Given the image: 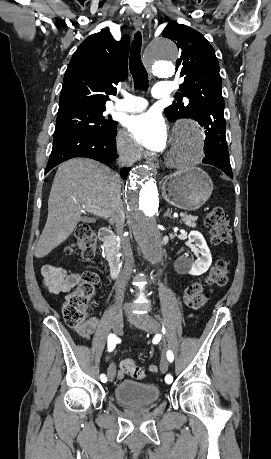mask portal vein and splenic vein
Listing matches in <instances>:
<instances>
[{"label": "portal vein and splenic vein", "instance_id": "portal-vein-and-splenic-vein-1", "mask_svg": "<svg viewBox=\"0 0 271 459\" xmlns=\"http://www.w3.org/2000/svg\"><path fill=\"white\" fill-rule=\"evenodd\" d=\"M80 212H84V210H80ZM94 214H96V216H101V218H107L109 210H102V208H97V210H94ZM185 214V212H180L179 217H185Z\"/></svg>", "mask_w": 271, "mask_h": 459}]
</instances>
